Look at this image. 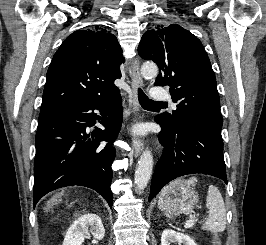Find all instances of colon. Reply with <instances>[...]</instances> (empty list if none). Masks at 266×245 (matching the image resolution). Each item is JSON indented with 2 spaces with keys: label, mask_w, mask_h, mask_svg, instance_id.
<instances>
[{
  "label": "colon",
  "mask_w": 266,
  "mask_h": 245,
  "mask_svg": "<svg viewBox=\"0 0 266 245\" xmlns=\"http://www.w3.org/2000/svg\"><path fill=\"white\" fill-rule=\"evenodd\" d=\"M212 245H221L220 240L216 237L212 239Z\"/></svg>",
  "instance_id": "obj_1"
}]
</instances>
